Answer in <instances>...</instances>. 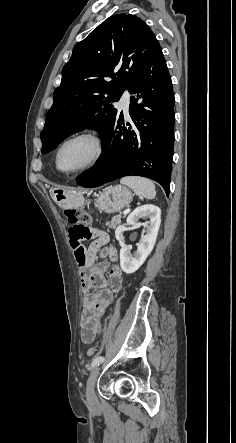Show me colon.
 Masks as SVG:
<instances>
[{
    "mask_svg": "<svg viewBox=\"0 0 236 443\" xmlns=\"http://www.w3.org/2000/svg\"><path fill=\"white\" fill-rule=\"evenodd\" d=\"M64 214L69 223L72 224V227L69 230L72 238L83 241L92 238L94 232L91 227L92 217L87 211L79 208H67L64 210ZM86 354L89 357L95 356L96 347L88 348Z\"/></svg>",
    "mask_w": 236,
    "mask_h": 443,
    "instance_id": "5ec220e1",
    "label": "colon"
}]
</instances>
